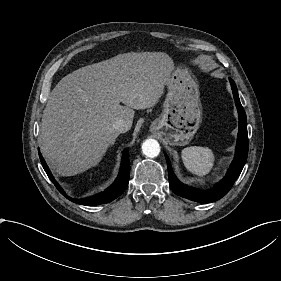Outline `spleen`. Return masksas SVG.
I'll return each instance as SVG.
<instances>
[{
	"label": "spleen",
	"mask_w": 281,
	"mask_h": 281,
	"mask_svg": "<svg viewBox=\"0 0 281 281\" xmlns=\"http://www.w3.org/2000/svg\"><path fill=\"white\" fill-rule=\"evenodd\" d=\"M182 160L190 172L203 176L212 169L214 154L209 148L191 146L182 150Z\"/></svg>",
	"instance_id": "spleen-1"
}]
</instances>
